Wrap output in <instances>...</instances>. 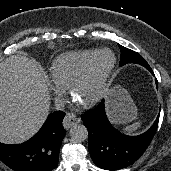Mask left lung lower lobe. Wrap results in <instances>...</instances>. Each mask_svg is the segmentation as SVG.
<instances>
[{
    "label": "left lung lower lobe",
    "mask_w": 171,
    "mask_h": 171,
    "mask_svg": "<svg viewBox=\"0 0 171 171\" xmlns=\"http://www.w3.org/2000/svg\"><path fill=\"white\" fill-rule=\"evenodd\" d=\"M148 70L153 74L151 68ZM158 88V82L156 80ZM88 130L89 153L94 163L105 170L126 168L142 156L158 127L159 115L154 124L139 136H127L112 127L105 113L104 100L81 118Z\"/></svg>",
    "instance_id": "obj_1"
}]
</instances>
